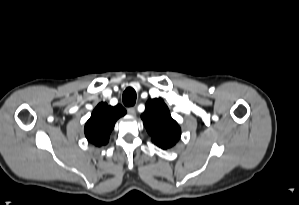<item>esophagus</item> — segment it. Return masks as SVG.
<instances>
[{
  "label": "esophagus",
  "mask_w": 299,
  "mask_h": 205,
  "mask_svg": "<svg viewBox=\"0 0 299 205\" xmlns=\"http://www.w3.org/2000/svg\"><path fill=\"white\" fill-rule=\"evenodd\" d=\"M127 112L129 115H135L136 114V108L135 107H129L127 108Z\"/></svg>",
  "instance_id": "1"
}]
</instances>
